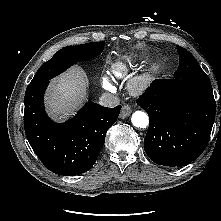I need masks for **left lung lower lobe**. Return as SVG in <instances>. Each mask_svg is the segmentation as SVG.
Returning <instances> with one entry per match:
<instances>
[{"label":"left lung lower lobe","mask_w":221,"mask_h":221,"mask_svg":"<svg viewBox=\"0 0 221 221\" xmlns=\"http://www.w3.org/2000/svg\"><path fill=\"white\" fill-rule=\"evenodd\" d=\"M137 104L150 119L144 149L152 161L181 167L204 151L216 112L209 79H157Z\"/></svg>","instance_id":"0a47b994"}]
</instances>
